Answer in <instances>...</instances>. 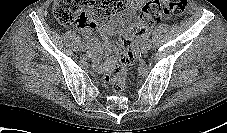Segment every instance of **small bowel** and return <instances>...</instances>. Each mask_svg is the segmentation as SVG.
I'll return each mask as SVG.
<instances>
[{"instance_id": "small-bowel-1", "label": "small bowel", "mask_w": 227, "mask_h": 133, "mask_svg": "<svg viewBox=\"0 0 227 133\" xmlns=\"http://www.w3.org/2000/svg\"><path fill=\"white\" fill-rule=\"evenodd\" d=\"M142 0H128V3L131 5H139ZM79 26V30L81 31L84 38L91 44L92 48L94 49V58L97 63H99V44L96 39L93 37V29L96 27V24L93 26ZM105 30V28H102ZM144 36V32L137 38L141 39Z\"/></svg>"}]
</instances>
